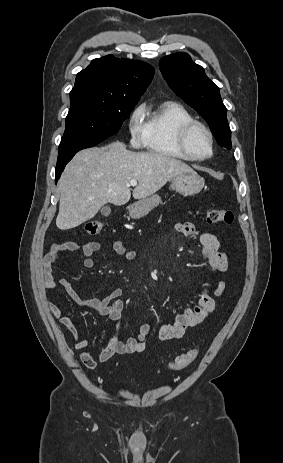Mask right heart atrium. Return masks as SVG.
I'll return each mask as SVG.
<instances>
[{
	"label": "right heart atrium",
	"mask_w": 283,
	"mask_h": 463,
	"mask_svg": "<svg viewBox=\"0 0 283 463\" xmlns=\"http://www.w3.org/2000/svg\"><path fill=\"white\" fill-rule=\"evenodd\" d=\"M128 130L131 144L135 147L140 146L144 139L143 108L141 106L134 109L131 113Z\"/></svg>",
	"instance_id": "right-heart-atrium-1"
}]
</instances>
